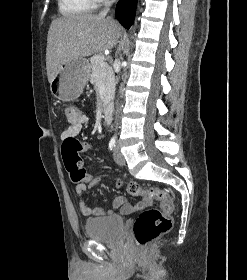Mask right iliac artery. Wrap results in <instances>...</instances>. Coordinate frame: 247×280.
I'll return each mask as SVG.
<instances>
[{
  "label": "right iliac artery",
  "mask_w": 247,
  "mask_h": 280,
  "mask_svg": "<svg viewBox=\"0 0 247 280\" xmlns=\"http://www.w3.org/2000/svg\"><path fill=\"white\" fill-rule=\"evenodd\" d=\"M115 147H116V139L112 138L109 142V149L112 151L115 149Z\"/></svg>",
  "instance_id": "82829eb1"
}]
</instances>
